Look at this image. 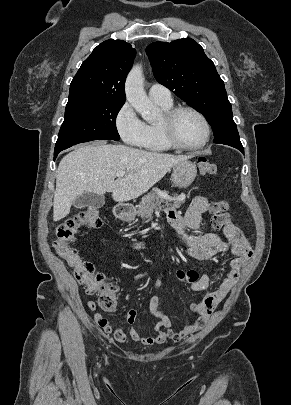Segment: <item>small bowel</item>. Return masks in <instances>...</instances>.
Here are the masks:
<instances>
[{
	"mask_svg": "<svg viewBox=\"0 0 291 405\" xmlns=\"http://www.w3.org/2000/svg\"><path fill=\"white\" fill-rule=\"evenodd\" d=\"M211 209V204L205 197H197L190 204L186 214L180 215L172 210L168 214L169 223L175 228L179 239L186 246V253L196 260H208L219 253H230L233 259L230 264V270L220 286L211 294L205 296L202 301L192 303L190 310L197 313L198 318L189 325L180 330H173L170 318L159 310V298L152 292L149 300L150 313L158 320L152 329L151 334L140 335L135 328L137 312L133 309L128 310L124 316L129 326V337L143 344H160L167 339L180 341L185 337L202 329L208 322L210 315L217 306L225 299L233 286L240 277V270L244 263L251 257L252 251L248 240L242 231L233 223H228L223 227L222 234L225 241L217 233H207L204 235H190L188 230L197 229L204 214ZM148 273H141L134 277L135 281H140L148 277ZM162 275L154 279V289L161 285ZM211 274H204L196 281L191 282L193 291L204 290L211 284ZM116 299V293L113 294ZM88 308L95 310V303L88 302ZM95 321L104 330L118 342H125L127 336L120 327L113 328L110 323L96 313Z\"/></svg>",
	"mask_w": 291,
	"mask_h": 405,
	"instance_id": "1",
	"label": "small bowel"
}]
</instances>
